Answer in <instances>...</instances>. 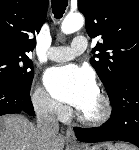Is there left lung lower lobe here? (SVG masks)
<instances>
[{
    "label": "left lung lower lobe",
    "mask_w": 139,
    "mask_h": 150,
    "mask_svg": "<svg viewBox=\"0 0 139 150\" xmlns=\"http://www.w3.org/2000/svg\"><path fill=\"white\" fill-rule=\"evenodd\" d=\"M112 113L101 127H75L76 137L81 142L120 140L139 147V67L130 70L119 81L109 97Z\"/></svg>",
    "instance_id": "0a47b994"
}]
</instances>
